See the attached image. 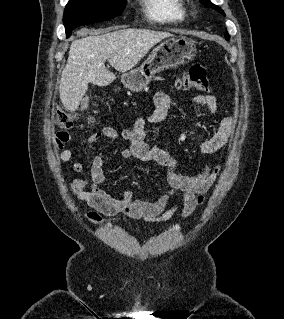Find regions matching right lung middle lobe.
Masks as SVG:
<instances>
[{
	"label": "right lung middle lobe",
	"instance_id": "right-lung-middle-lobe-1",
	"mask_svg": "<svg viewBox=\"0 0 284 319\" xmlns=\"http://www.w3.org/2000/svg\"><path fill=\"white\" fill-rule=\"evenodd\" d=\"M125 9V0H69L63 23L67 37L74 28L111 19Z\"/></svg>",
	"mask_w": 284,
	"mask_h": 319
}]
</instances>
